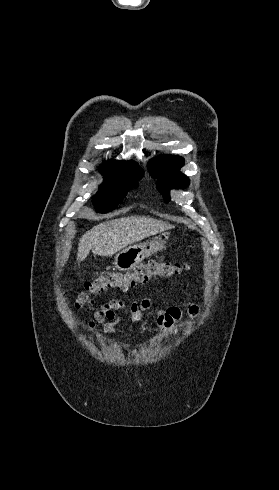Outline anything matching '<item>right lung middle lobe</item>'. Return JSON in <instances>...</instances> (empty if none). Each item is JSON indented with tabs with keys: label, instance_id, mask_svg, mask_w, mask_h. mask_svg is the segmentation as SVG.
Segmentation results:
<instances>
[{
	"label": "right lung middle lobe",
	"instance_id": "right-lung-middle-lobe-1",
	"mask_svg": "<svg viewBox=\"0 0 279 490\" xmlns=\"http://www.w3.org/2000/svg\"><path fill=\"white\" fill-rule=\"evenodd\" d=\"M143 177V170L126 171L116 177L104 180L94 198L98 212L106 213L115 209L125 197L127 191L138 186Z\"/></svg>",
	"mask_w": 279,
	"mask_h": 490
}]
</instances>
